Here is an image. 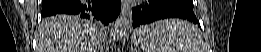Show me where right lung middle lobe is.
Masks as SVG:
<instances>
[{"mask_svg": "<svg viewBox=\"0 0 261 52\" xmlns=\"http://www.w3.org/2000/svg\"><path fill=\"white\" fill-rule=\"evenodd\" d=\"M76 17L88 19V21L93 22V23L96 25L97 28H101V27H102V25H101L98 21L93 20V19H91V18H89V17H79V16H76Z\"/></svg>", "mask_w": 261, "mask_h": 52, "instance_id": "right-lung-middle-lobe-1", "label": "right lung middle lobe"}]
</instances>
